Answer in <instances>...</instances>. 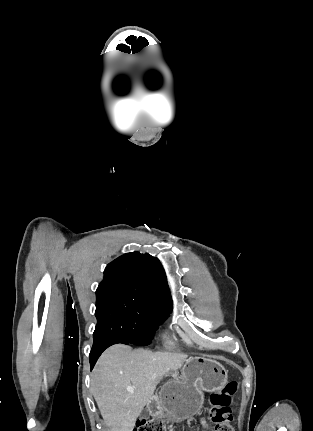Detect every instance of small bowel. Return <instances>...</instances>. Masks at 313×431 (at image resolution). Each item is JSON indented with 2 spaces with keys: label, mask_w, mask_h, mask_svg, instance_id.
Masks as SVG:
<instances>
[{
  "label": "small bowel",
  "mask_w": 313,
  "mask_h": 431,
  "mask_svg": "<svg viewBox=\"0 0 313 431\" xmlns=\"http://www.w3.org/2000/svg\"><path fill=\"white\" fill-rule=\"evenodd\" d=\"M201 423H202V425H203V427H204V428H207V427H208V424H207V422H206L205 420H202V422H201Z\"/></svg>",
  "instance_id": "obj_1"
}]
</instances>
